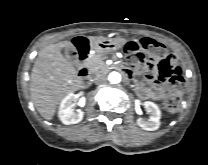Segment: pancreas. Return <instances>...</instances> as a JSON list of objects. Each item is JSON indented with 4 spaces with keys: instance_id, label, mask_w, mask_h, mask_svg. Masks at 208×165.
Listing matches in <instances>:
<instances>
[{
    "instance_id": "1",
    "label": "pancreas",
    "mask_w": 208,
    "mask_h": 165,
    "mask_svg": "<svg viewBox=\"0 0 208 165\" xmlns=\"http://www.w3.org/2000/svg\"><path fill=\"white\" fill-rule=\"evenodd\" d=\"M104 56L100 54H95L91 57L92 64L90 66L91 73L99 74L108 69L104 63Z\"/></svg>"
}]
</instances>
